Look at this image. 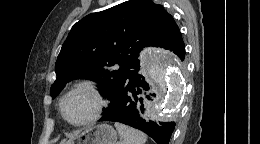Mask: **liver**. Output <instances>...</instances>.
<instances>
[{
    "label": "liver",
    "instance_id": "obj_1",
    "mask_svg": "<svg viewBox=\"0 0 260 144\" xmlns=\"http://www.w3.org/2000/svg\"><path fill=\"white\" fill-rule=\"evenodd\" d=\"M65 143H66V139H63L60 144H65Z\"/></svg>",
    "mask_w": 260,
    "mask_h": 144
}]
</instances>
